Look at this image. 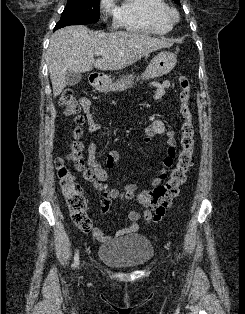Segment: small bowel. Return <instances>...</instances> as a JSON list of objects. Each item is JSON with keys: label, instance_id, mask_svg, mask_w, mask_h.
<instances>
[{"label": "small bowel", "instance_id": "obj_1", "mask_svg": "<svg viewBox=\"0 0 245 314\" xmlns=\"http://www.w3.org/2000/svg\"><path fill=\"white\" fill-rule=\"evenodd\" d=\"M151 86L155 88L153 100H159L165 95L166 91L172 86V84L169 80H164L162 82H153L151 83ZM82 100V109L89 123V129L90 131L94 132L98 130L99 125L95 122L92 104L88 99L83 98ZM157 136L166 137L167 149L166 154L162 160V167L155 175L151 177V184L153 186L159 185L167 178V169L173 166L174 159L177 154V142L174 136V132L168 129L165 123L160 119L154 120L146 127L144 141L147 143L151 142L152 139ZM86 160L88 165L95 171L101 183H105L111 179L110 170L118 162L119 153L115 150L109 151L106 155L105 164L104 166H102L97 161L96 144L94 142H91L87 149ZM123 189L127 195H134L139 191V186L136 183H127L123 185ZM99 199L101 202V212L103 214L110 213L111 204L100 197ZM164 214L165 213L156 214L150 210H145L142 213L138 211H131L128 214V219L131 221V224L129 226L121 228L111 234L104 232L100 228H93L91 230V234L96 240L100 242L110 243L118 237L137 232L140 229V225L137 223L140 218H143L145 220V226H149L150 224L158 223Z\"/></svg>", "mask_w": 245, "mask_h": 314}]
</instances>
